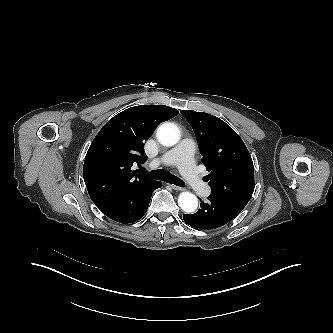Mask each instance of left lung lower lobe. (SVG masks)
<instances>
[{"instance_id": "1", "label": "left lung lower lobe", "mask_w": 333, "mask_h": 333, "mask_svg": "<svg viewBox=\"0 0 333 333\" xmlns=\"http://www.w3.org/2000/svg\"><path fill=\"white\" fill-rule=\"evenodd\" d=\"M200 201L201 208L196 213L183 215L184 221L195 229L218 228L240 213L212 195L206 203Z\"/></svg>"}]
</instances>
